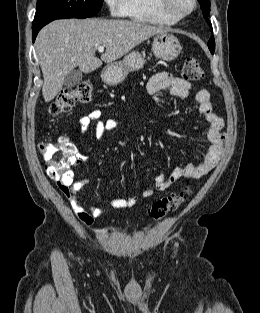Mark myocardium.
I'll use <instances>...</instances> for the list:
<instances>
[{"mask_svg": "<svg viewBox=\"0 0 260 313\" xmlns=\"http://www.w3.org/2000/svg\"><path fill=\"white\" fill-rule=\"evenodd\" d=\"M190 3V8L182 13H177L172 9L170 0H157V8L168 18L174 20L175 22H179L189 16L196 9L197 0H190Z\"/></svg>", "mask_w": 260, "mask_h": 313, "instance_id": "obj_1", "label": "myocardium"}]
</instances>
